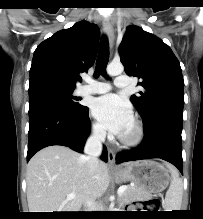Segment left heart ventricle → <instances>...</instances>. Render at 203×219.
I'll list each match as a JSON object with an SVG mask.
<instances>
[{
    "mask_svg": "<svg viewBox=\"0 0 203 219\" xmlns=\"http://www.w3.org/2000/svg\"><path fill=\"white\" fill-rule=\"evenodd\" d=\"M132 133V123L123 131L122 136H128Z\"/></svg>",
    "mask_w": 203,
    "mask_h": 219,
    "instance_id": "b2bd125f",
    "label": "left heart ventricle"
}]
</instances>
